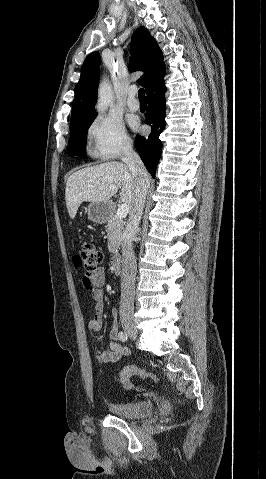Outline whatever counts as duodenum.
Instances as JSON below:
<instances>
[{"label": "duodenum", "mask_w": 266, "mask_h": 479, "mask_svg": "<svg viewBox=\"0 0 266 479\" xmlns=\"http://www.w3.org/2000/svg\"><path fill=\"white\" fill-rule=\"evenodd\" d=\"M111 267H112V272L114 274H118L121 270L122 267V258L119 255H114L112 256L111 259Z\"/></svg>", "instance_id": "duodenum-1"}]
</instances>
